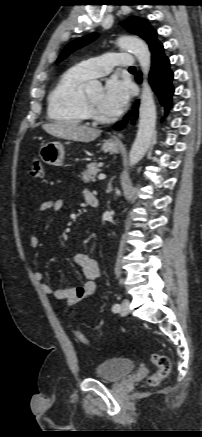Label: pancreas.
Returning <instances> with one entry per match:
<instances>
[{
  "label": "pancreas",
  "mask_w": 202,
  "mask_h": 437,
  "mask_svg": "<svg viewBox=\"0 0 202 437\" xmlns=\"http://www.w3.org/2000/svg\"><path fill=\"white\" fill-rule=\"evenodd\" d=\"M100 172L99 165L95 162L87 165V169L82 172V180L84 182L95 181L96 175Z\"/></svg>",
  "instance_id": "pancreas-1"
}]
</instances>
